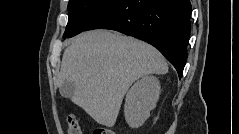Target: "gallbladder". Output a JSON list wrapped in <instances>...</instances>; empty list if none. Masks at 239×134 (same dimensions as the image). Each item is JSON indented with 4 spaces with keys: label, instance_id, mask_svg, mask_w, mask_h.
Masks as SVG:
<instances>
[{
    "label": "gallbladder",
    "instance_id": "gallbladder-1",
    "mask_svg": "<svg viewBox=\"0 0 239 134\" xmlns=\"http://www.w3.org/2000/svg\"><path fill=\"white\" fill-rule=\"evenodd\" d=\"M74 91V84L69 81H64L59 87L60 94L65 98H70L73 95Z\"/></svg>",
    "mask_w": 239,
    "mask_h": 134
}]
</instances>
